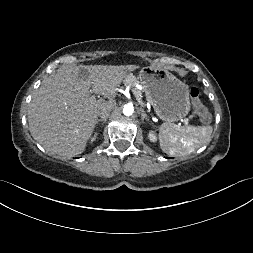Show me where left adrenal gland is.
Returning <instances> with one entry per match:
<instances>
[{"mask_svg":"<svg viewBox=\"0 0 253 253\" xmlns=\"http://www.w3.org/2000/svg\"><path fill=\"white\" fill-rule=\"evenodd\" d=\"M140 111H141V119L144 120L146 119L147 121H149V117L147 116V114L145 113L144 109L141 107L140 108Z\"/></svg>","mask_w":253,"mask_h":253,"instance_id":"left-adrenal-gland-1","label":"left adrenal gland"}]
</instances>
